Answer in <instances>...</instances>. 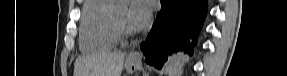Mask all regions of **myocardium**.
Masks as SVG:
<instances>
[{
	"label": "myocardium",
	"mask_w": 287,
	"mask_h": 76,
	"mask_svg": "<svg viewBox=\"0 0 287 76\" xmlns=\"http://www.w3.org/2000/svg\"><path fill=\"white\" fill-rule=\"evenodd\" d=\"M111 20H112V25L117 32V34L121 37H131L135 35V31L123 24L115 15V11H112L111 13Z\"/></svg>",
	"instance_id": "obj_1"
}]
</instances>
